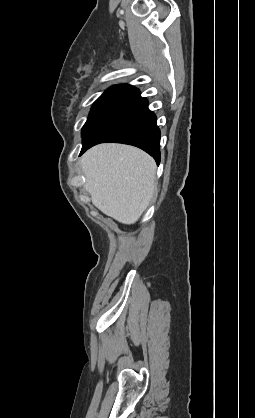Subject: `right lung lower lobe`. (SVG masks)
I'll return each instance as SVG.
<instances>
[{
  "label": "right lung lower lobe",
  "mask_w": 255,
  "mask_h": 418,
  "mask_svg": "<svg viewBox=\"0 0 255 418\" xmlns=\"http://www.w3.org/2000/svg\"><path fill=\"white\" fill-rule=\"evenodd\" d=\"M116 142L139 147L160 163V130L148 101L128 87L115 95L92 119L83 134V154L90 147Z\"/></svg>",
  "instance_id": "1"
}]
</instances>
